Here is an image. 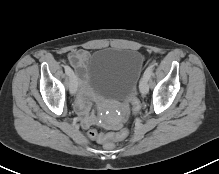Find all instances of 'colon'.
<instances>
[{
    "instance_id": "colon-1",
    "label": "colon",
    "mask_w": 219,
    "mask_h": 174,
    "mask_svg": "<svg viewBox=\"0 0 219 174\" xmlns=\"http://www.w3.org/2000/svg\"><path fill=\"white\" fill-rule=\"evenodd\" d=\"M132 112L137 114L141 110V103L136 96L130 98ZM89 137L92 140L103 143L107 148L111 149L114 146V142L124 140L128 136L127 129H121L116 133L103 134L94 129L88 132Z\"/></svg>"
}]
</instances>
